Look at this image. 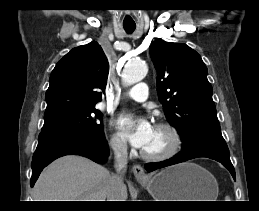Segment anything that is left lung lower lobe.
Wrapping results in <instances>:
<instances>
[{"instance_id":"0a47b994","label":"left lung lower lobe","mask_w":259,"mask_h":211,"mask_svg":"<svg viewBox=\"0 0 259 211\" xmlns=\"http://www.w3.org/2000/svg\"><path fill=\"white\" fill-rule=\"evenodd\" d=\"M198 157H207L220 162L230 171L233 178L236 179L235 170L230 161L229 149L226 143L211 140H204L185 150H181V152H179L169 160L156 163H148L145 165V169L148 172H151L159 168L174 165Z\"/></svg>"}]
</instances>
